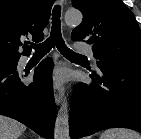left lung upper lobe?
I'll return each instance as SVG.
<instances>
[{"label": "left lung upper lobe", "instance_id": "left-lung-upper-lobe-1", "mask_svg": "<svg viewBox=\"0 0 141 139\" xmlns=\"http://www.w3.org/2000/svg\"><path fill=\"white\" fill-rule=\"evenodd\" d=\"M83 13L74 41L93 44L97 65L141 68V33L134 14L121 0H72Z\"/></svg>", "mask_w": 141, "mask_h": 139}]
</instances>
